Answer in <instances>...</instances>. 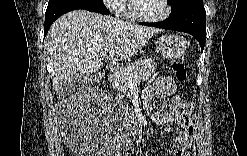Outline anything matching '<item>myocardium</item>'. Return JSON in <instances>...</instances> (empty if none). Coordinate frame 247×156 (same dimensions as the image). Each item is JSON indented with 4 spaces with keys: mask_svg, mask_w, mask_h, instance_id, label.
<instances>
[{
    "mask_svg": "<svg viewBox=\"0 0 247 156\" xmlns=\"http://www.w3.org/2000/svg\"><path fill=\"white\" fill-rule=\"evenodd\" d=\"M162 2V6H163V12L159 15H155V16H142L139 15L136 11L135 8V2L136 1H130L129 2V15L136 21H140V22H145V23H154V22H159L162 20H165L171 12V8L169 5V2L167 0H160Z\"/></svg>",
    "mask_w": 247,
    "mask_h": 156,
    "instance_id": "f54148a6",
    "label": "myocardium"
}]
</instances>
